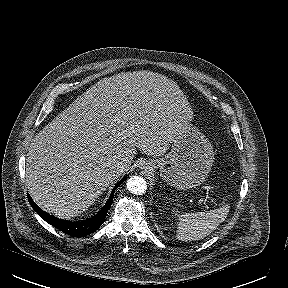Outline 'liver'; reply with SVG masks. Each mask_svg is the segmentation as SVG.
Wrapping results in <instances>:
<instances>
[{
    "label": "liver",
    "mask_w": 288,
    "mask_h": 288,
    "mask_svg": "<svg viewBox=\"0 0 288 288\" xmlns=\"http://www.w3.org/2000/svg\"><path fill=\"white\" fill-rule=\"evenodd\" d=\"M193 112L166 76L124 72L92 85L32 140L26 184L42 209L70 219L86 211L130 168L136 149L159 157ZM126 169L110 177L111 164Z\"/></svg>",
    "instance_id": "obj_1"
}]
</instances>
